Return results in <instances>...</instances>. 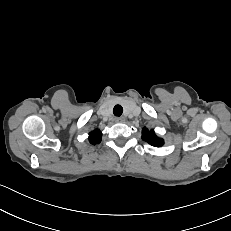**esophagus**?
<instances>
[{
  "label": "esophagus",
  "instance_id": "34e87169",
  "mask_svg": "<svg viewBox=\"0 0 231 231\" xmlns=\"http://www.w3.org/2000/svg\"><path fill=\"white\" fill-rule=\"evenodd\" d=\"M115 122H117V123H123L124 122V118L123 117H117V118H115Z\"/></svg>",
  "mask_w": 231,
  "mask_h": 231
}]
</instances>
